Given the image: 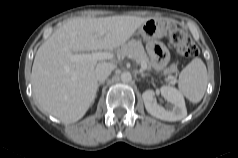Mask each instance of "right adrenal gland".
<instances>
[{"mask_svg": "<svg viewBox=\"0 0 238 158\" xmlns=\"http://www.w3.org/2000/svg\"><path fill=\"white\" fill-rule=\"evenodd\" d=\"M104 83L103 82H99L98 84H97V87H99L100 85H103Z\"/></svg>", "mask_w": 238, "mask_h": 158, "instance_id": "2a0ac1e0", "label": "right adrenal gland"}]
</instances>
